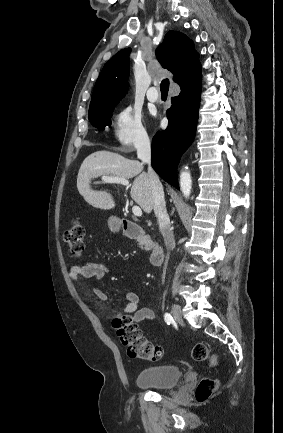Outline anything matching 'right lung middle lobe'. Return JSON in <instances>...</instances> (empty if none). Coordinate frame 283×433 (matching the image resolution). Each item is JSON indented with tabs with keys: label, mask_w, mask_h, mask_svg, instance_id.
<instances>
[{
	"label": "right lung middle lobe",
	"mask_w": 283,
	"mask_h": 433,
	"mask_svg": "<svg viewBox=\"0 0 283 433\" xmlns=\"http://www.w3.org/2000/svg\"><path fill=\"white\" fill-rule=\"evenodd\" d=\"M116 105L101 108L89 113V121L93 126L103 129L105 126L111 125L112 111Z\"/></svg>",
	"instance_id": "dd1d6c3e"
}]
</instances>
